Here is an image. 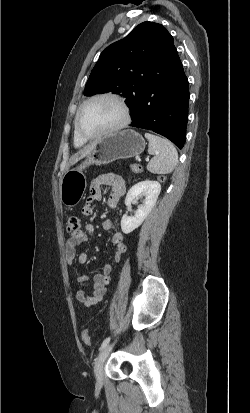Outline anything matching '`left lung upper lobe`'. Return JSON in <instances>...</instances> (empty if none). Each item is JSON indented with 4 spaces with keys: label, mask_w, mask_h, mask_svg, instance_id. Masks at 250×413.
I'll use <instances>...</instances> for the list:
<instances>
[{
    "label": "left lung upper lobe",
    "mask_w": 250,
    "mask_h": 413,
    "mask_svg": "<svg viewBox=\"0 0 250 413\" xmlns=\"http://www.w3.org/2000/svg\"><path fill=\"white\" fill-rule=\"evenodd\" d=\"M173 45V37L162 25L148 21L139 24L100 54L84 94H122L129 107L141 84L164 69Z\"/></svg>",
    "instance_id": "obj_1"
}]
</instances>
